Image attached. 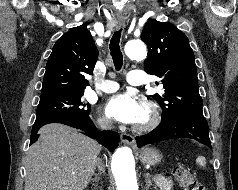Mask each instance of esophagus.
Listing matches in <instances>:
<instances>
[{"mask_svg":"<svg viewBox=\"0 0 238 190\" xmlns=\"http://www.w3.org/2000/svg\"><path fill=\"white\" fill-rule=\"evenodd\" d=\"M125 24V19L124 18H118L117 20V27L118 28H121L123 27ZM120 139H121V142L125 145H133L134 143V137L130 134H127V133H122L120 135Z\"/></svg>","mask_w":238,"mask_h":190,"instance_id":"esophagus-1","label":"esophagus"}]
</instances>
